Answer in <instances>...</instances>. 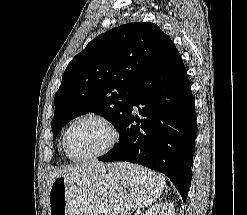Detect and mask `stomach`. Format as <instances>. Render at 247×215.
<instances>
[{
  "mask_svg": "<svg viewBox=\"0 0 247 215\" xmlns=\"http://www.w3.org/2000/svg\"><path fill=\"white\" fill-rule=\"evenodd\" d=\"M164 179L129 163L107 164L85 176L56 178L49 189V215H119L152 204Z\"/></svg>",
  "mask_w": 247,
  "mask_h": 215,
  "instance_id": "0dacf381",
  "label": "stomach"
}]
</instances>
